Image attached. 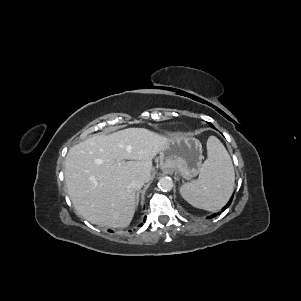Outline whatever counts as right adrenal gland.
Here are the masks:
<instances>
[{
  "instance_id": "right-adrenal-gland-1",
  "label": "right adrenal gland",
  "mask_w": 301,
  "mask_h": 301,
  "mask_svg": "<svg viewBox=\"0 0 301 301\" xmlns=\"http://www.w3.org/2000/svg\"><path fill=\"white\" fill-rule=\"evenodd\" d=\"M140 192L141 191H138L137 193H136V207L138 206V203H139V194H140Z\"/></svg>"
}]
</instances>
